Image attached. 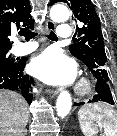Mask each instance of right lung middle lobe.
Returning a JSON list of instances; mask_svg holds the SVG:
<instances>
[{
  "mask_svg": "<svg viewBox=\"0 0 117 136\" xmlns=\"http://www.w3.org/2000/svg\"><path fill=\"white\" fill-rule=\"evenodd\" d=\"M15 62V59L11 57L9 51L0 52V64L11 65Z\"/></svg>",
  "mask_w": 117,
  "mask_h": 136,
  "instance_id": "obj_1",
  "label": "right lung middle lobe"
}]
</instances>
